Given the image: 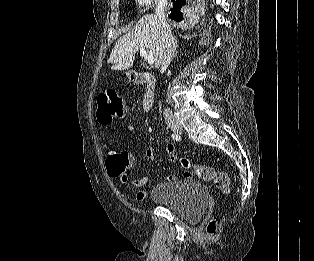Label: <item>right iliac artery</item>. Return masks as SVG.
<instances>
[{
  "label": "right iliac artery",
  "instance_id": "obj_1",
  "mask_svg": "<svg viewBox=\"0 0 314 261\" xmlns=\"http://www.w3.org/2000/svg\"><path fill=\"white\" fill-rule=\"evenodd\" d=\"M172 138L174 139V140H176V141H179L181 138H180V136L178 135V134H172Z\"/></svg>",
  "mask_w": 314,
  "mask_h": 261
}]
</instances>
